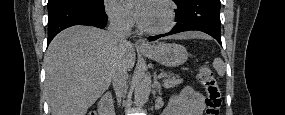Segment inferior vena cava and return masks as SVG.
I'll return each mask as SVG.
<instances>
[{"instance_id": "inferior-vena-cava-1", "label": "inferior vena cava", "mask_w": 285, "mask_h": 115, "mask_svg": "<svg viewBox=\"0 0 285 115\" xmlns=\"http://www.w3.org/2000/svg\"><path fill=\"white\" fill-rule=\"evenodd\" d=\"M131 28L132 23L124 16L117 15L110 17L108 37L110 41L119 48L121 53L128 43L127 38L131 35ZM127 79L128 73L126 66L122 58L119 57L112 71L113 86L119 99L116 106L117 110L123 109L124 101L128 95V90H126Z\"/></svg>"}]
</instances>
